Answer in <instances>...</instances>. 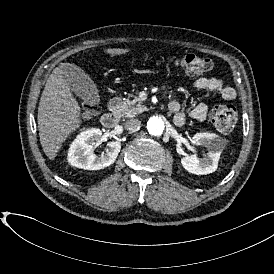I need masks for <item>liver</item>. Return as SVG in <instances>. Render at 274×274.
Returning a JSON list of instances; mask_svg holds the SVG:
<instances>
[{
  "instance_id": "liver-1",
  "label": "liver",
  "mask_w": 274,
  "mask_h": 274,
  "mask_svg": "<svg viewBox=\"0 0 274 274\" xmlns=\"http://www.w3.org/2000/svg\"><path fill=\"white\" fill-rule=\"evenodd\" d=\"M104 52L121 55L128 49L109 48ZM81 68L74 64L61 63L49 75L38 106V130L45 155L54 160L62 143L80 127V106L73 97L70 84L78 77Z\"/></svg>"
}]
</instances>
